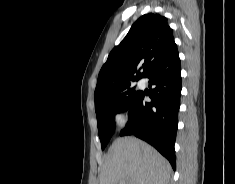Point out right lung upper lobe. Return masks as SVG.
I'll use <instances>...</instances> for the list:
<instances>
[{"label": "right lung upper lobe", "instance_id": "obj_1", "mask_svg": "<svg viewBox=\"0 0 235 184\" xmlns=\"http://www.w3.org/2000/svg\"><path fill=\"white\" fill-rule=\"evenodd\" d=\"M176 51L167 18L155 13L141 16L102 66L94 94L95 107L110 104L112 88L144 78Z\"/></svg>", "mask_w": 235, "mask_h": 184}]
</instances>
